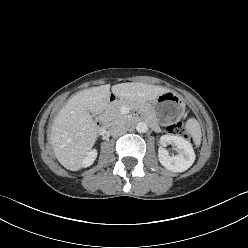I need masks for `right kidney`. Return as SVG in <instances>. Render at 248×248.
<instances>
[{"label":"right kidney","mask_w":248,"mask_h":248,"mask_svg":"<svg viewBox=\"0 0 248 248\" xmlns=\"http://www.w3.org/2000/svg\"><path fill=\"white\" fill-rule=\"evenodd\" d=\"M96 157H97L96 150L90 151L83 161V166L88 167V166L92 165L94 160L96 159Z\"/></svg>","instance_id":"obj_1"}]
</instances>
